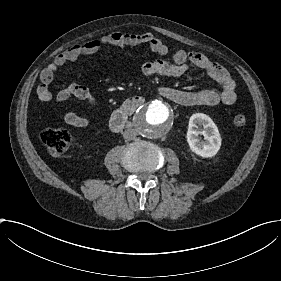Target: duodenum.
Returning a JSON list of instances; mask_svg holds the SVG:
<instances>
[{
  "mask_svg": "<svg viewBox=\"0 0 281 281\" xmlns=\"http://www.w3.org/2000/svg\"><path fill=\"white\" fill-rule=\"evenodd\" d=\"M144 103V99L140 96H135L127 99L119 108L111 115L110 128L117 132L123 129L128 123L129 117Z\"/></svg>",
  "mask_w": 281,
  "mask_h": 281,
  "instance_id": "410a0bca",
  "label": "duodenum"
}]
</instances>
